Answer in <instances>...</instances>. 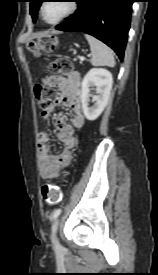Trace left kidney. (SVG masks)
Wrapping results in <instances>:
<instances>
[{"mask_svg": "<svg viewBox=\"0 0 158 275\" xmlns=\"http://www.w3.org/2000/svg\"><path fill=\"white\" fill-rule=\"evenodd\" d=\"M112 74L104 68H92L88 71L81 85V102L85 117L89 121L96 120L106 107L112 89ZM95 86L97 95L92 97L93 107H89L90 87Z\"/></svg>", "mask_w": 158, "mask_h": 275, "instance_id": "obj_1", "label": "left kidney"}]
</instances>
